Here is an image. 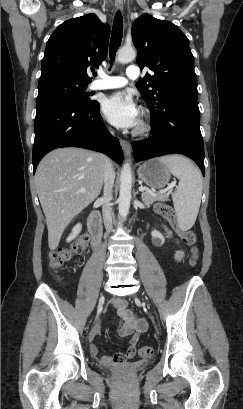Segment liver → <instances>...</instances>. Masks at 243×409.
<instances>
[{"mask_svg":"<svg viewBox=\"0 0 243 409\" xmlns=\"http://www.w3.org/2000/svg\"><path fill=\"white\" fill-rule=\"evenodd\" d=\"M104 163V155L80 148H59L40 161L35 182L51 250L68 224L100 194Z\"/></svg>","mask_w":243,"mask_h":409,"instance_id":"6515ba94","label":"liver"}]
</instances>
